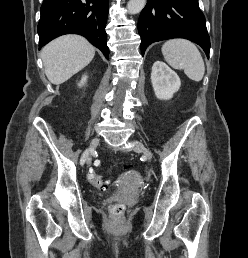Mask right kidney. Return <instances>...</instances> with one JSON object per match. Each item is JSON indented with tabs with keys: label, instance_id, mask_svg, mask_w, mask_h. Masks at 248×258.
Returning a JSON list of instances; mask_svg holds the SVG:
<instances>
[{
	"label": "right kidney",
	"instance_id": "1",
	"mask_svg": "<svg viewBox=\"0 0 248 258\" xmlns=\"http://www.w3.org/2000/svg\"><path fill=\"white\" fill-rule=\"evenodd\" d=\"M86 81H87V76L84 75V76L82 77L80 83L78 84V86L82 87L83 85H85Z\"/></svg>",
	"mask_w": 248,
	"mask_h": 258
}]
</instances>
